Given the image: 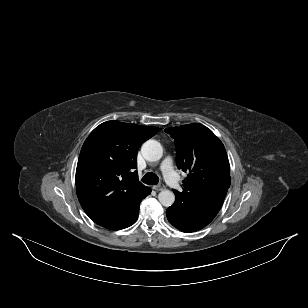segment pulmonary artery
I'll use <instances>...</instances> for the list:
<instances>
[{"instance_id":"pulmonary-artery-1","label":"pulmonary artery","mask_w":308,"mask_h":308,"mask_svg":"<svg viewBox=\"0 0 308 308\" xmlns=\"http://www.w3.org/2000/svg\"><path fill=\"white\" fill-rule=\"evenodd\" d=\"M160 169L163 173V176L166 182L174 189L180 190L181 185H180L178 176L173 169L172 161L170 157H166L163 160V162L161 163Z\"/></svg>"}]
</instances>
